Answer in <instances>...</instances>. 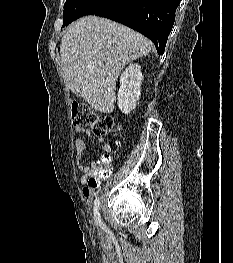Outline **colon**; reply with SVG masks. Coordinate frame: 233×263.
<instances>
[{"label": "colon", "instance_id": "obj_1", "mask_svg": "<svg viewBox=\"0 0 233 263\" xmlns=\"http://www.w3.org/2000/svg\"><path fill=\"white\" fill-rule=\"evenodd\" d=\"M72 119L76 127H89L97 135H117L121 131V127L117 125L112 118L96 115L83 104H73ZM109 172L110 158L108 156H103L95 163L94 172L88 179L89 189H100V182L98 181L108 180Z\"/></svg>", "mask_w": 233, "mask_h": 263}]
</instances>
